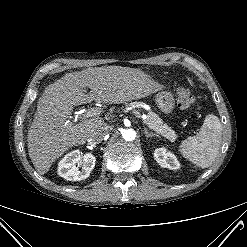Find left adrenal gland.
I'll use <instances>...</instances> for the list:
<instances>
[{
    "label": "left adrenal gland",
    "mask_w": 247,
    "mask_h": 247,
    "mask_svg": "<svg viewBox=\"0 0 247 247\" xmlns=\"http://www.w3.org/2000/svg\"><path fill=\"white\" fill-rule=\"evenodd\" d=\"M144 134L147 138L149 137H158V135H156L155 133L153 132H149L148 130H144Z\"/></svg>",
    "instance_id": "obj_1"
}]
</instances>
